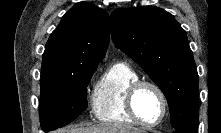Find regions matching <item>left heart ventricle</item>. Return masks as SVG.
<instances>
[{
    "mask_svg": "<svg viewBox=\"0 0 221 133\" xmlns=\"http://www.w3.org/2000/svg\"><path fill=\"white\" fill-rule=\"evenodd\" d=\"M135 107L139 116L147 123H155L162 114L160 97L150 87H144L138 92Z\"/></svg>",
    "mask_w": 221,
    "mask_h": 133,
    "instance_id": "obj_1",
    "label": "left heart ventricle"
}]
</instances>
